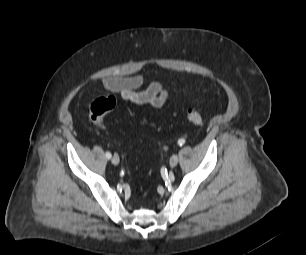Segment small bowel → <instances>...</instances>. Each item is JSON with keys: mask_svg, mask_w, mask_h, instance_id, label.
Here are the masks:
<instances>
[{"mask_svg": "<svg viewBox=\"0 0 306 255\" xmlns=\"http://www.w3.org/2000/svg\"><path fill=\"white\" fill-rule=\"evenodd\" d=\"M144 84L142 75L129 77H107L103 79L105 90L118 93L125 102L137 105L162 107L170 96V92L160 82L150 83L144 90H138Z\"/></svg>", "mask_w": 306, "mask_h": 255, "instance_id": "obj_1", "label": "small bowel"}]
</instances>
